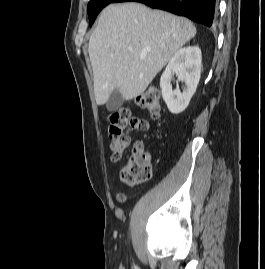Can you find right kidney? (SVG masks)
Wrapping results in <instances>:
<instances>
[{
	"mask_svg": "<svg viewBox=\"0 0 265 269\" xmlns=\"http://www.w3.org/2000/svg\"><path fill=\"white\" fill-rule=\"evenodd\" d=\"M202 54L198 46H188L178 50L170 59L160 78L162 97L172 114L184 111L194 95L201 74ZM176 75L185 86L172 89V76Z\"/></svg>",
	"mask_w": 265,
	"mask_h": 269,
	"instance_id": "obj_1",
	"label": "right kidney"
}]
</instances>
